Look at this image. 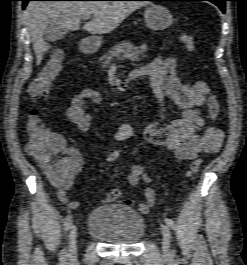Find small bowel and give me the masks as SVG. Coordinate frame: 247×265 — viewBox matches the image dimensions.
<instances>
[{"mask_svg":"<svg viewBox=\"0 0 247 265\" xmlns=\"http://www.w3.org/2000/svg\"><path fill=\"white\" fill-rule=\"evenodd\" d=\"M176 70L175 58L156 57L150 63L134 69L131 77L148 78L159 104L156 119L144 129L145 140L151 145L173 151L177 162H183L193 160L203 152H218L222 146L224 133L215 124L207 126V121L216 120L220 112L219 101L210 87L203 81L185 83L177 76ZM101 100L102 96L97 90L82 89L73 96L65 112L66 121L75 125L81 133H88L92 122V115L88 111L89 104H96ZM168 101L173 102L182 112L178 119L165 123ZM134 133V127L124 123L115 129L114 138L125 141L132 138ZM60 137L62 138L61 135ZM63 152L70 160V171L66 178L50 179V182L57 190L59 200L69 209H76L79 207V202L71 199L69 192L74 185L76 175L83 168L84 159L77 147L64 145ZM127 181L131 186H137L141 182L148 185L151 183V178L140 164H135L129 169ZM121 195L120 188H113L102 196L98 203L136 204L141 213H147L156 202V193L151 187L145 188L143 202L121 199Z\"/></svg>","mask_w":247,"mask_h":265,"instance_id":"1","label":"small bowel"}]
</instances>
